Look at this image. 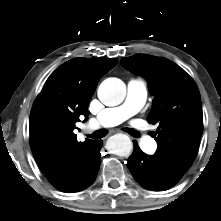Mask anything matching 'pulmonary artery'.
<instances>
[{
  "instance_id": "1",
  "label": "pulmonary artery",
  "mask_w": 221,
  "mask_h": 221,
  "mask_svg": "<svg viewBox=\"0 0 221 221\" xmlns=\"http://www.w3.org/2000/svg\"><path fill=\"white\" fill-rule=\"evenodd\" d=\"M146 98V81L142 78L129 80L124 102L119 106L106 108L92 117L89 121L90 129L111 127L124 122L144 106ZM141 148L147 153H154L157 149V143L152 138L144 136L141 139Z\"/></svg>"
}]
</instances>
